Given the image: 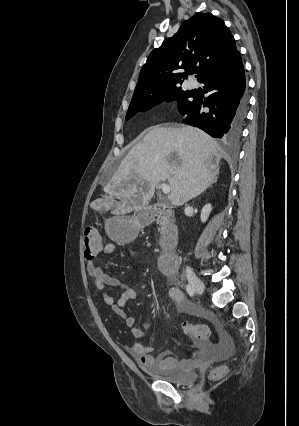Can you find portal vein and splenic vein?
Returning a JSON list of instances; mask_svg holds the SVG:
<instances>
[{"label": "portal vein and splenic vein", "mask_w": 299, "mask_h": 426, "mask_svg": "<svg viewBox=\"0 0 299 426\" xmlns=\"http://www.w3.org/2000/svg\"><path fill=\"white\" fill-rule=\"evenodd\" d=\"M159 188L162 189V191H163L164 194H169L170 193V186L168 184H166V183H161L159 185Z\"/></svg>", "instance_id": "obj_1"}]
</instances>
